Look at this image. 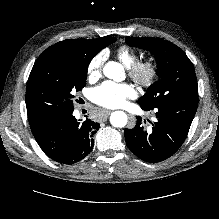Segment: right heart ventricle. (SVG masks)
Instances as JSON below:
<instances>
[{"instance_id":"1","label":"right heart ventricle","mask_w":219,"mask_h":219,"mask_svg":"<svg viewBox=\"0 0 219 219\" xmlns=\"http://www.w3.org/2000/svg\"><path fill=\"white\" fill-rule=\"evenodd\" d=\"M116 56L127 68L131 67L136 61H138V54L125 45L117 49Z\"/></svg>"}]
</instances>
